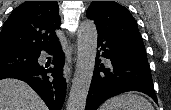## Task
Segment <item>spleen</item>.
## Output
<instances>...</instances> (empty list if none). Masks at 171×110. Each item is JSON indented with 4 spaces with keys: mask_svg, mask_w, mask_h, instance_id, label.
I'll return each instance as SVG.
<instances>
[{
    "mask_svg": "<svg viewBox=\"0 0 171 110\" xmlns=\"http://www.w3.org/2000/svg\"><path fill=\"white\" fill-rule=\"evenodd\" d=\"M100 110H154V108L143 96L125 93L107 100Z\"/></svg>",
    "mask_w": 171,
    "mask_h": 110,
    "instance_id": "spleen-1",
    "label": "spleen"
}]
</instances>
